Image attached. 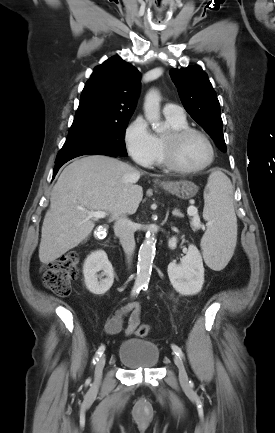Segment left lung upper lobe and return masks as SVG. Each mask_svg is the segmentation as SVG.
I'll return each mask as SVG.
<instances>
[{
	"instance_id": "obj_1",
	"label": "left lung upper lobe",
	"mask_w": 275,
	"mask_h": 433,
	"mask_svg": "<svg viewBox=\"0 0 275 433\" xmlns=\"http://www.w3.org/2000/svg\"><path fill=\"white\" fill-rule=\"evenodd\" d=\"M170 75L186 111L226 152L220 104L208 75L197 65L171 69Z\"/></svg>"
}]
</instances>
